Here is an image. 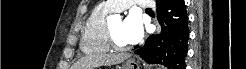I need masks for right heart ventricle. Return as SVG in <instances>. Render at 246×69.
<instances>
[{"label": "right heart ventricle", "instance_id": "1", "mask_svg": "<svg viewBox=\"0 0 246 69\" xmlns=\"http://www.w3.org/2000/svg\"><path fill=\"white\" fill-rule=\"evenodd\" d=\"M114 12L106 2L100 3L86 20L81 38V51L88 54L106 53L111 49L107 39V17Z\"/></svg>", "mask_w": 246, "mask_h": 69}]
</instances>
